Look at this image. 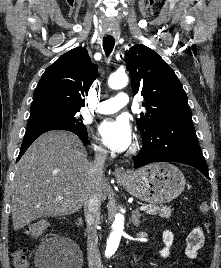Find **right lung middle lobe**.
<instances>
[{
  "instance_id": "right-lung-middle-lobe-1",
  "label": "right lung middle lobe",
  "mask_w": 221,
  "mask_h": 268,
  "mask_svg": "<svg viewBox=\"0 0 221 268\" xmlns=\"http://www.w3.org/2000/svg\"><path fill=\"white\" fill-rule=\"evenodd\" d=\"M79 111L50 112L36 115H30L27 127L35 126H59L70 129L86 130L85 125L78 117Z\"/></svg>"
}]
</instances>
